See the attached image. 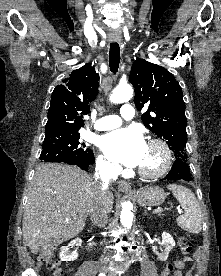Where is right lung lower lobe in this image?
I'll list each match as a JSON object with an SVG mask.
<instances>
[{
    "label": "right lung lower lobe",
    "instance_id": "right-lung-lower-lobe-1",
    "mask_svg": "<svg viewBox=\"0 0 221 276\" xmlns=\"http://www.w3.org/2000/svg\"><path fill=\"white\" fill-rule=\"evenodd\" d=\"M95 162V160H90V161H80V160H68V161H63V163H67L70 165H77L81 169L88 171V167L92 165Z\"/></svg>",
    "mask_w": 221,
    "mask_h": 276
}]
</instances>
